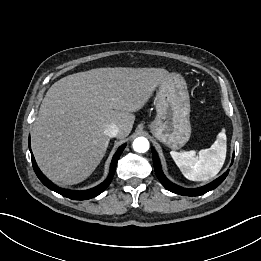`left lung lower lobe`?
Returning <instances> with one entry per match:
<instances>
[{
  "label": "left lung lower lobe",
  "mask_w": 261,
  "mask_h": 261,
  "mask_svg": "<svg viewBox=\"0 0 261 261\" xmlns=\"http://www.w3.org/2000/svg\"><path fill=\"white\" fill-rule=\"evenodd\" d=\"M152 155H153V163H154V169H155V173L158 177V179L160 180V182L163 184V186L168 189L169 191L179 194V195H184V196H200L202 194L207 193L210 190L215 189L217 186H219L224 179L227 177L229 171H226L222 176H220L219 178H217L216 180H214L213 182L200 187V188H196V189H186V188H182L180 186H177L173 183H171L163 174L162 169H161V165H160V161L158 158L157 153L155 152L154 149H152ZM234 160V155H233V159Z\"/></svg>",
  "instance_id": "left-lung-lower-lobe-1"
}]
</instances>
